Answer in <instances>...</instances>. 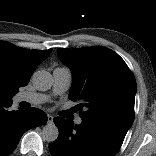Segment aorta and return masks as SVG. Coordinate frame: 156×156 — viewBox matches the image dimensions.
<instances>
[{"instance_id":"762f6f07","label":"aorta","mask_w":156,"mask_h":156,"mask_svg":"<svg viewBox=\"0 0 156 156\" xmlns=\"http://www.w3.org/2000/svg\"><path fill=\"white\" fill-rule=\"evenodd\" d=\"M32 83L38 91H47L52 86V75L45 70L36 71L32 76ZM41 134L47 142H54L58 138L59 131L54 123H48L43 127Z\"/></svg>"}]
</instances>
